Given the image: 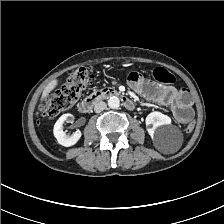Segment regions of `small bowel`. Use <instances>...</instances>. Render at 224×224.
Wrapping results in <instances>:
<instances>
[{"label":"small bowel","mask_w":224,"mask_h":224,"mask_svg":"<svg viewBox=\"0 0 224 224\" xmlns=\"http://www.w3.org/2000/svg\"><path fill=\"white\" fill-rule=\"evenodd\" d=\"M129 84L136 93L145 99L156 104L172 106L174 118L179 124H185L190 120V107L194 100L190 91L157 84L137 72L130 73Z\"/></svg>","instance_id":"obj_1"}]
</instances>
